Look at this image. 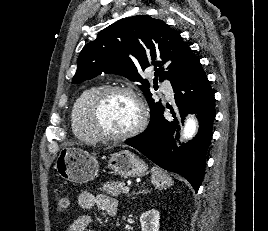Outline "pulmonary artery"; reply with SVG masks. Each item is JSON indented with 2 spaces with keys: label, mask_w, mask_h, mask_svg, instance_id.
Returning a JSON list of instances; mask_svg holds the SVG:
<instances>
[{
  "label": "pulmonary artery",
  "mask_w": 268,
  "mask_h": 231,
  "mask_svg": "<svg viewBox=\"0 0 268 231\" xmlns=\"http://www.w3.org/2000/svg\"><path fill=\"white\" fill-rule=\"evenodd\" d=\"M161 88H162V92L165 94V96L168 99L172 100L174 98V91H173L172 86L169 83L162 84Z\"/></svg>",
  "instance_id": "1"
}]
</instances>
